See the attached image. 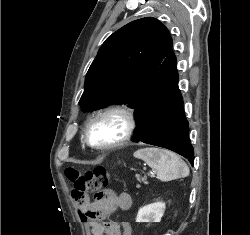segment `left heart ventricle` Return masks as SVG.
I'll list each match as a JSON object with an SVG mask.
<instances>
[{"instance_id": "obj_1", "label": "left heart ventricle", "mask_w": 250, "mask_h": 235, "mask_svg": "<svg viewBox=\"0 0 250 235\" xmlns=\"http://www.w3.org/2000/svg\"><path fill=\"white\" fill-rule=\"evenodd\" d=\"M124 129V121L118 115H108L98 119L90 129L91 141L107 144L117 140Z\"/></svg>"}]
</instances>
